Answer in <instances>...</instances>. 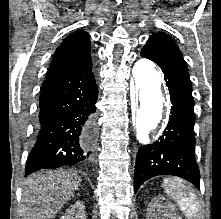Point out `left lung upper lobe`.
I'll return each mask as SVG.
<instances>
[{
  "instance_id": "obj_1",
  "label": "left lung upper lobe",
  "mask_w": 221,
  "mask_h": 219,
  "mask_svg": "<svg viewBox=\"0 0 221 219\" xmlns=\"http://www.w3.org/2000/svg\"><path fill=\"white\" fill-rule=\"evenodd\" d=\"M152 52L162 53L168 57L175 58L182 65H185L183 56L178 46L165 33H157L150 36L146 45L144 46Z\"/></svg>"
}]
</instances>
